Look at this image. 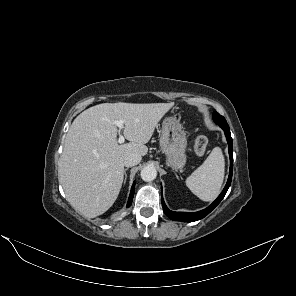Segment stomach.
I'll use <instances>...</instances> for the list:
<instances>
[{"label": "stomach", "mask_w": 296, "mask_h": 296, "mask_svg": "<svg viewBox=\"0 0 296 296\" xmlns=\"http://www.w3.org/2000/svg\"><path fill=\"white\" fill-rule=\"evenodd\" d=\"M186 134L175 117H166L162 123L160 148L166 156V163L173 170H179L186 164Z\"/></svg>", "instance_id": "0dacf381"}]
</instances>
